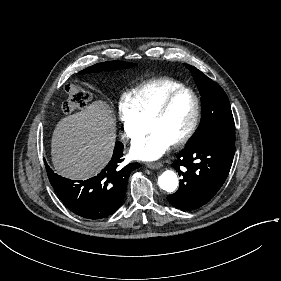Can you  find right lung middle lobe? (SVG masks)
<instances>
[{"instance_id": "1", "label": "right lung middle lobe", "mask_w": 281, "mask_h": 281, "mask_svg": "<svg viewBox=\"0 0 281 281\" xmlns=\"http://www.w3.org/2000/svg\"><path fill=\"white\" fill-rule=\"evenodd\" d=\"M134 66L133 63L123 62V61H108L103 63L95 64L87 69L80 71V74L92 73V72H101V71H110L122 68H130Z\"/></svg>"}]
</instances>
